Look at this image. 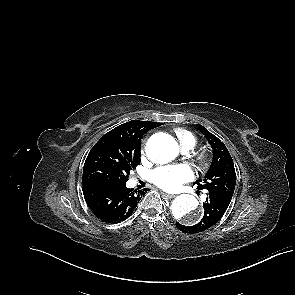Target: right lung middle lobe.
I'll return each instance as SVG.
<instances>
[{
	"instance_id": "1",
	"label": "right lung middle lobe",
	"mask_w": 295,
	"mask_h": 295,
	"mask_svg": "<svg viewBox=\"0 0 295 295\" xmlns=\"http://www.w3.org/2000/svg\"><path fill=\"white\" fill-rule=\"evenodd\" d=\"M142 132L105 134L90 150L83 168V185L126 184L130 170L140 164Z\"/></svg>"
}]
</instances>
